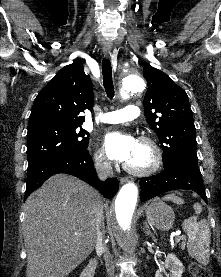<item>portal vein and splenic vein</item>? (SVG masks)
<instances>
[{"mask_svg": "<svg viewBox=\"0 0 221 277\" xmlns=\"http://www.w3.org/2000/svg\"><path fill=\"white\" fill-rule=\"evenodd\" d=\"M173 234H174V236H176V240H177V241L185 240V239H186V237H185L184 235H181L180 232H175V233H173Z\"/></svg>", "mask_w": 221, "mask_h": 277, "instance_id": "1", "label": "portal vein and splenic vein"}]
</instances>
